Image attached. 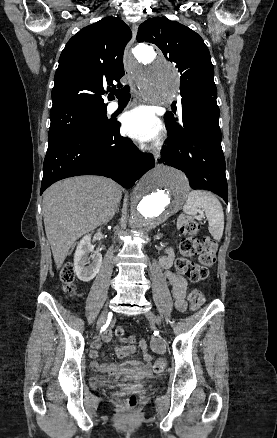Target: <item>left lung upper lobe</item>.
Instances as JSON below:
<instances>
[{
	"mask_svg": "<svg viewBox=\"0 0 277 438\" xmlns=\"http://www.w3.org/2000/svg\"><path fill=\"white\" fill-rule=\"evenodd\" d=\"M138 42L157 45L166 59L176 63L181 74V103H191L205 97H217L214 68L204 41L190 28L164 17H153L139 26ZM177 115L166 112L167 129H175Z\"/></svg>",
	"mask_w": 277,
	"mask_h": 438,
	"instance_id": "1",
	"label": "left lung upper lobe"
}]
</instances>
